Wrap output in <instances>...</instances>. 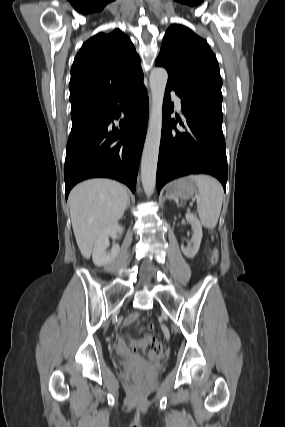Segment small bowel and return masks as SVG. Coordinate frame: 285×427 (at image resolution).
<instances>
[{
    "label": "small bowel",
    "mask_w": 285,
    "mask_h": 427,
    "mask_svg": "<svg viewBox=\"0 0 285 427\" xmlns=\"http://www.w3.org/2000/svg\"><path fill=\"white\" fill-rule=\"evenodd\" d=\"M136 317H137V315H136V314L132 315V316L128 319V322L133 321ZM122 349H123L125 352H128V353L130 352V351L128 350V348H127V345H126V344H122Z\"/></svg>",
    "instance_id": "1"
}]
</instances>
